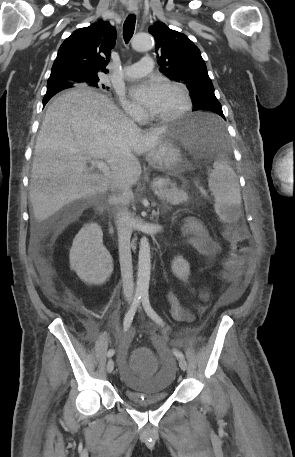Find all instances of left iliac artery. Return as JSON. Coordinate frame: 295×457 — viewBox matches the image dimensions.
Returning <instances> with one entry per match:
<instances>
[{"mask_svg":"<svg viewBox=\"0 0 295 457\" xmlns=\"http://www.w3.org/2000/svg\"><path fill=\"white\" fill-rule=\"evenodd\" d=\"M142 303H143V306H144V309L146 311V313L148 314V316L154 320L157 324L161 325V326H164V322L163 320L161 319V317L154 311V309L151 307L150 305V301H149V295L148 293H143L142 294ZM173 353L175 354V356H177L178 358H184V355L182 354V352L178 351V350H173Z\"/></svg>","mask_w":295,"mask_h":457,"instance_id":"left-iliac-artery-1","label":"left iliac artery"}]
</instances>
